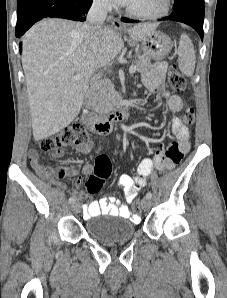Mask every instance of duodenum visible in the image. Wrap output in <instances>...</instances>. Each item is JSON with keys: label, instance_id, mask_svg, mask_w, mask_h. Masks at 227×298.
Wrapping results in <instances>:
<instances>
[{"label": "duodenum", "instance_id": "duodenum-1", "mask_svg": "<svg viewBox=\"0 0 227 298\" xmlns=\"http://www.w3.org/2000/svg\"><path fill=\"white\" fill-rule=\"evenodd\" d=\"M96 103L95 91H90L85 98L87 113L85 115L86 125L98 134H108L112 131L114 124L122 121L130 109L129 103L118 106L114 111L107 115H96L93 110Z\"/></svg>", "mask_w": 227, "mask_h": 298}]
</instances>
